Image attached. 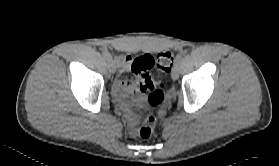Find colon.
<instances>
[{
	"mask_svg": "<svg viewBox=\"0 0 279 166\" xmlns=\"http://www.w3.org/2000/svg\"><path fill=\"white\" fill-rule=\"evenodd\" d=\"M175 60V54L172 51H165L153 58L150 55H143L135 58L131 64V72L135 77L137 88L145 94V99L152 107L160 105L165 98L163 80L155 81L150 70L156 68L163 79L170 73ZM156 117L147 116L139 128L138 135L142 139H148L154 132Z\"/></svg>",
	"mask_w": 279,
	"mask_h": 166,
	"instance_id": "colon-1",
	"label": "colon"
}]
</instances>
